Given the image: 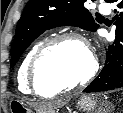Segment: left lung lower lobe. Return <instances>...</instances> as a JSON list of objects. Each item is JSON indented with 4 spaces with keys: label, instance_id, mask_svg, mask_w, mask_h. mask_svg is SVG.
<instances>
[{
    "label": "left lung lower lobe",
    "instance_id": "left-lung-lower-lobe-1",
    "mask_svg": "<svg viewBox=\"0 0 123 113\" xmlns=\"http://www.w3.org/2000/svg\"><path fill=\"white\" fill-rule=\"evenodd\" d=\"M111 2L117 7L114 17L116 45L108 47L105 66L99 76L83 92H100L123 87V48L119 44V40L123 41V0H111Z\"/></svg>",
    "mask_w": 123,
    "mask_h": 113
}]
</instances>
